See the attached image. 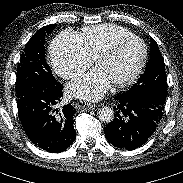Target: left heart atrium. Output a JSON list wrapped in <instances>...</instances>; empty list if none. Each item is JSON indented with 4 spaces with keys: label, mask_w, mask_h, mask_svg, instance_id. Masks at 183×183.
<instances>
[{
    "label": "left heart atrium",
    "mask_w": 183,
    "mask_h": 183,
    "mask_svg": "<svg viewBox=\"0 0 183 183\" xmlns=\"http://www.w3.org/2000/svg\"><path fill=\"white\" fill-rule=\"evenodd\" d=\"M111 82L99 68H94L79 80L68 86V92L77 98L87 101H96L102 98L109 88Z\"/></svg>",
    "instance_id": "1"
}]
</instances>
